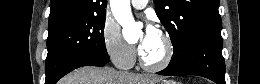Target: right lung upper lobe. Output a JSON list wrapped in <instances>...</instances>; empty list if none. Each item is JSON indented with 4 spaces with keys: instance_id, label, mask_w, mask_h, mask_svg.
Masks as SVG:
<instances>
[{
    "instance_id": "obj_1",
    "label": "right lung upper lobe",
    "mask_w": 260,
    "mask_h": 84,
    "mask_svg": "<svg viewBox=\"0 0 260 84\" xmlns=\"http://www.w3.org/2000/svg\"><path fill=\"white\" fill-rule=\"evenodd\" d=\"M107 0H51L48 27L105 13Z\"/></svg>"
}]
</instances>
